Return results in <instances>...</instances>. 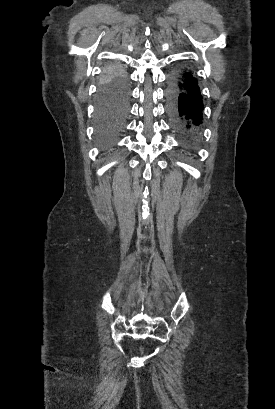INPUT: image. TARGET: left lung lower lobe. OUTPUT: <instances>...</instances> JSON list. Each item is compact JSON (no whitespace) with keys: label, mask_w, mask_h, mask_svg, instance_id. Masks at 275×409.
<instances>
[{"label":"left lung lower lobe","mask_w":275,"mask_h":409,"mask_svg":"<svg viewBox=\"0 0 275 409\" xmlns=\"http://www.w3.org/2000/svg\"><path fill=\"white\" fill-rule=\"evenodd\" d=\"M167 113L172 130L188 139L198 136L204 105L196 75L189 69L174 68L168 77Z\"/></svg>","instance_id":"0a47b994"}]
</instances>
